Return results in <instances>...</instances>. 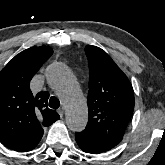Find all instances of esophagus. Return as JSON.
Segmentation results:
<instances>
[{"label":"esophagus","instance_id":"obj_1","mask_svg":"<svg viewBox=\"0 0 165 165\" xmlns=\"http://www.w3.org/2000/svg\"><path fill=\"white\" fill-rule=\"evenodd\" d=\"M57 112L60 115V117H63V115H64V109L63 108L58 109Z\"/></svg>","mask_w":165,"mask_h":165}]
</instances>
